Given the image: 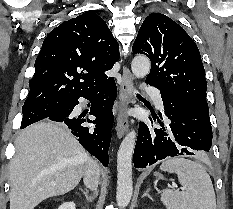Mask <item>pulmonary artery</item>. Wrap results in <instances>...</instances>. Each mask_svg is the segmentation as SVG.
I'll return each mask as SVG.
<instances>
[{
	"instance_id": "obj_1",
	"label": "pulmonary artery",
	"mask_w": 233,
	"mask_h": 209,
	"mask_svg": "<svg viewBox=\"0 0 233 209\" xmlns=\"http://www.w3.org/2000/svg\"><path fill=\"white\" fill-rule=\"evenodd\" d=\"M145 91L152 95L155 106L158 109L162 110L163 109V101H162V97H161L159 90L156 88L147 86L145 88Z\"/></svg>"
}]
</instances>
